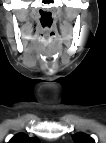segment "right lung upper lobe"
<instances>
[{
  "mask_svg": "<svg viewBox=\"0 0 106 143\" xmlns=\"http://www.w3.org/2000/svg\"><path fill=\"white\" fill-rule=\"evenodd\" d=\"M37 142H38V138L37 137L30 138L25 133H19V134L15 135L9 141V143H37Z\"/></svg>",
  "mask_w": 106,
  "mask_h": 143,
  "instance_id": "1",
  "label": "right lung upper lobe"
}]
</instances>
